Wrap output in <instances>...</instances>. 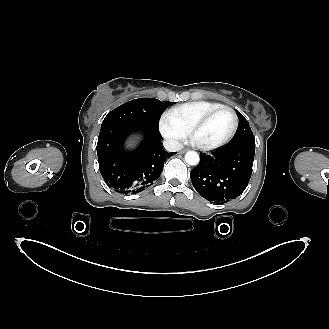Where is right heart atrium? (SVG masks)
<instances>
[{
	"label": "right heart atrium",
	"mask_w": 329,
	"mask_h": 329,
	"mask_svg": "<svg viewBox=\"0 0 329 329\" xmlns=\"http://www.w3.org/2000/svg\"><path fill=\"white\" fill-rule=\"evenodd\" d=\"M159 126L163 136L175 146H178L187 135L167 114L161 118Z\"/></svg>",
	"instance_id": "obj_1"
}]
</instances>
